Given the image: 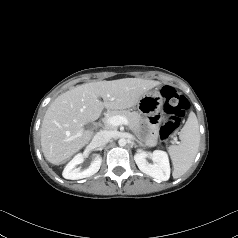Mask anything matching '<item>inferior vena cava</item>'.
Segmentation results:
<instances>
[{"label":"inferior vena cava","mask_w":238,"mask_h":238,"mask_svg":"<svg viewBox=\"0 0 238 238\" xmlns=\"http://www.w3.org/2000/svg\"><path fill=\"white\" fill-rule=\"evenodd\" d=\"M110 138L111 136L107 131H99L93 137L92 143L96 147L104 146L109 142Z\"/></svg>","instance_id":"602c4592"}]
</instances>
